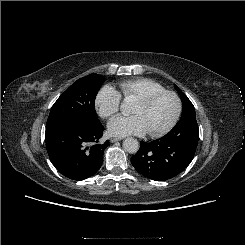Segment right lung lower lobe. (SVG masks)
I'll return each instance as SVG.
<instances>
[{"label":"right lung lower lobe","mask_w":245,"mask_h":245,"mask_svg":"<svg viewBox=\"0 0 245 245\" xmlns=\"http://www.w3.org/2000/svg\"><path fill=\"white\" fill-rule=\"evenodd\" d=\"M103 126L89 127L71 122L46 126L45 141L48 155L55 168L72 180L93 176L103 163V152L109 141L98 143Z\"/></svg>","instance_id":"right-lung-lower-lobe-1"}]
</instances>
